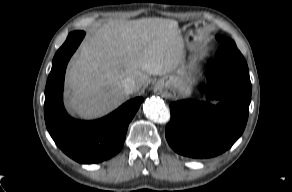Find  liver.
Returning <instances> with one entry per match:
<instances>
[{
  "instance_id": "6515ba94",
  "label": "liver",
  "mask_w": 292,
  "mask_h": 192,
  "mask_svg": "<svg viewBox=\"0 0 292 192\" xmlns=\"http://www.w3.org/2000/svg\"><path fill=\"white\" fill-rule=\"evenodd\" d=\"M185 59L178 22L163 18L114 20L81 45L67 72L68 106L84 118L103 115L123 103L122 81L132 78L137 93L150 75L177 71Z\"/></svg>"
}]
</instances>
